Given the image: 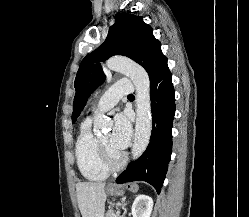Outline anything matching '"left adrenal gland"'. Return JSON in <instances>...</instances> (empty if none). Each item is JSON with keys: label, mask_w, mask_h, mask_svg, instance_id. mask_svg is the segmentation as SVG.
Segmentation results:
<instances>
[{"label": "left adrenal gland", "mask_w": 249, "mask_h": 217, "mask_svg": "<svg viewBox=\"0 0 249 217\" xmlns=\"http://www.w3.org/2000/svg\"><path fill=\"white\" fill-rule=\"evenodd\" d=\"M127 205V202H125V200L123 201V204H122V209H123V216L122 217H124V215L126 214V212H127V210H126V208H125V206Z\"/></svg>", "instance_id": "1"}]
</instances>
